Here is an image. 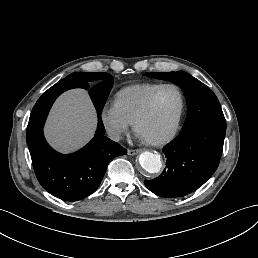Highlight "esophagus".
I'll list each match as a JSON object with an SVG mask.
<instances>
[{
  "label": "esophagus",
  "instance_id": "34e87169",
  "mask_svg": "<svg viewBox=\"0 0 258 258\" xmlns=\"http://www.w3.org/2000/svg\"><path fill=\"white\" fill-rule=\"evenodd\" d=\"M140 152H141V149L128 150V155L134 156L136 154H139Z\"/></svg>",
  "mask_w": 258,
  "mask_h": 258
}]
</instances>
